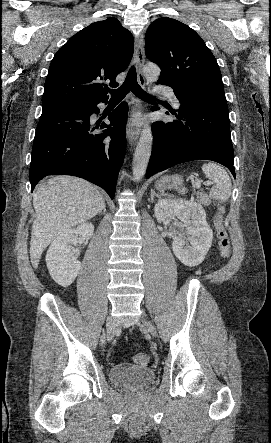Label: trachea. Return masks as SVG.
I'll return each instance as SVG.
<instances>
[{
    "instance_id": "1",
    "label": "trachea",
    "mask_w": 271,
    "mask_h": 443,
    "mask_svg": "<svg viewBox=\"0 0 271 443\" xmlns=\"http://www.w3.org/2000/svg\"><path fill=\"white\" fill-rule=\"evenodd\" d=\"M132 91L135 95H137L142 100L152 101L156 100L155 97H152L151 95H148V93L144 92L140 85L137 83V75H136V69L132 67L129 69V72L127 74V78L124 81V83L121 85V87L117 88V90H111V100H122V98L125 97V95Z\"/></svg>"
}]
</instances>
